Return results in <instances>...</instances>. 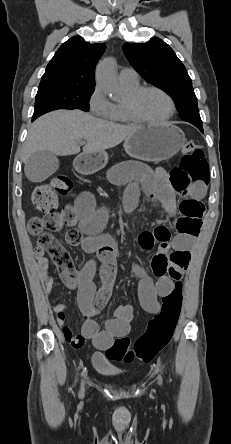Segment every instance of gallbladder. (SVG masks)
<instances>
[{"label": "gallbladder", "mask_w": 231, "mask_h": 444, "mask_svg": "<svg viewBox=\"0 0 231 444\" xmlns=\"http://www.w3.org/2000/svg\"><path fill=\"white\" fill-rule=\"evenodd\" d=\"M58 169V159L49 151L33 153L25 163V175L32 182H41Z\"/></svg>", "instance_id": "gallbladder-1"}]
</instances>
